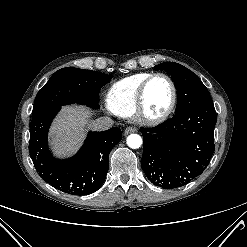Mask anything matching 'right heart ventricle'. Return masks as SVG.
<instances>
[{
  "label": "right heart ventricle",
  "instance_id": "obj_1",
  "mask_svg": "<svg viewBox=\"0 0 247 247\" xmlns=\"http://www.w3.org/2000/svg\"><path fill=\"white\" fill-rule=\"evenodd\" d=\"M151 74L150 72H140L115 82L107 93L109 109L117 115L130 116L134 111L139 88Z\"/></svg>",
  "mask_w": 247,
  "mask_h": 247
}]
</instances>
